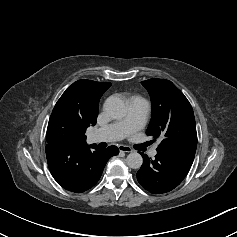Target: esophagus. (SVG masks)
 <instances>
[{
	"label": "esophagus",
	"instance_id": "1",
	"mask_svg": "<svg viewBox=\"0 0 237 237\" xmlns=\"http://www.w3.org/2000/svg\"><path fill=\"white\" fill-rule=\"evenodd\" d=\"M118 148L120 152L130 153L133 151L131 147L125 145H119Z\"/></svg>",
	"mask_w": 237,
	"mask_h": 237
}]
</instances>
